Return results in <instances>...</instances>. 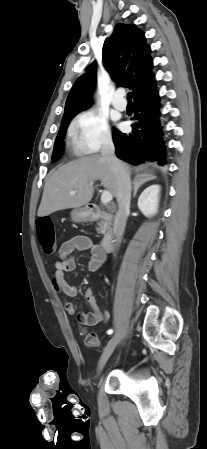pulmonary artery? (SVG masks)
Instances as JSON below:
<instances>
[{
  "instance_id": "obj_1",
  "label": "pulmonary artery",
  "mask_w": 207,
  "mask_h": 449,
  "mask_svg": "<svg viewBox=\"0 0 207 449\" xmlns=\"http://www.w3.org/2000/svg\"><path fill=\"white\" fill-rule=\"evenodd\" d=\"M113 106L118 110H125L127 103L124 99V93L122 91H117L112 99Z\"/></svg>"
}]
</instances>
